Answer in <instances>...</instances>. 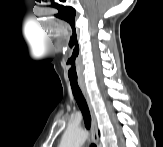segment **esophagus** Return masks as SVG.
<instances>
[{
    "label": "esophagus",
    "mask_w": 163,
    "mask_h": 147,
    "mask_svg": "<svg viewBox=\"0 0 163 147\" xmlns=\"http://www.w3.org/2000/svg\"><path fill=\"white\" fill-rule=\"evenodd\" d=\"M80 88L82 90V93L85 97V100L87 102L88 108H89V112H90V116H91V123H92V139L95 143H98V129H97V124H96V117L94 114V110L90 101V97L88 95V92L86 90V86L83 82H80Z\"/></svg>",
    "instance_id": "1"
}]
</instances>
